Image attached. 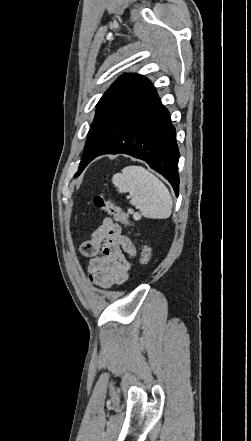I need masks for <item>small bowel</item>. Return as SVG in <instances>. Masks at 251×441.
<instances>
[{"label": "small bowel", "instance_id": "small-bowel-1", "mask_svg": "<svg viewBox=\"0 0 251 441\" xmlns=\"http://www.w3.org/2000/svg\"><path fill=\"white\" fill-rule=\"evenodd\" d=\"M83 256L89 258L88 277L91 283L109 288L124 283L132 268L136 253L132 240L122 233L121 226L111 218H104L92 232L90 239L80 247ZM101 252V255H98Z\"/></svg>", "mask_w": 251, "mask_h": 441}]
</instances>
